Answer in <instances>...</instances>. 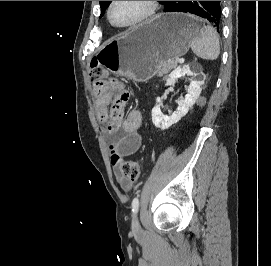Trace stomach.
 <instances>
[{
	"instance_id": "obj_1",
	"label": "stomach",
	"mask_w": 271,
	"mask_h": 266,
	"mask_svg": "<svg viewBox=\"0 0 271 266\" xmlns=\"http://www.w3.org/2000/svg\"><path fill=\"white\" fill-rule=\"evenodd\" d=\"M200 32V22L191 14H160L106 42L97 59L113 74L144 82L161 63L185 55Z\"/></svg>"
}]
</instances>
